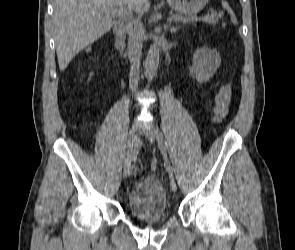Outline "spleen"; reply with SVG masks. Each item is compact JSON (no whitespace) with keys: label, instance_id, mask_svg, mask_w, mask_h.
<instances>
[{"label":"spleen","instance_id":"3e777b00","mask_svg":"<svg viewBox=\"0 0 295 250\" xmlns=\"http://www.w3.org/2000/svg\"><path fill=\"white\" fill-rule=\"evenodd\" d=\"M222 6L228 11V13L231 15V20L233 23H237L236 17L232 11V9L230 8V6L228 5L227 2L222 1Z\"/></svg>","mask_w":295,"mask_h":250}]
</instances>
